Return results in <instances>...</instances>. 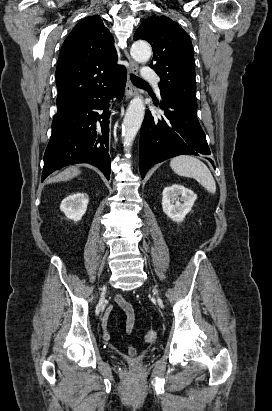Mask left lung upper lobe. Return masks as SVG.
<instances>
[{
	"label": "left lung upper lobe",
	"instance_id": "5c2ea615",
	"mask_svg": "<svg viewBox=\"0 0 272 411\" xmlns=\"http://www.w3.org/2000/svg\"><path fill=\"white\" fill-rule=\"evenodd\" d=\"M147 40L153 48L150 66L160 76V92L197 108L193 46L188 34L165 16L145 20L134 40Z\"/></svg>",
	"mask_w": 272,
	"mask_h": 411
}]
</instances>
